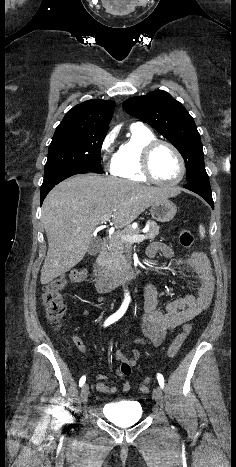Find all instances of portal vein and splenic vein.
I'll return each mask as SVG.
<instances>
[{
    "label": "portal vein and splenic vein",
    "instance_id": "1",
    "mask_svg": "<svg viewBox=\"0 0 236 467\" xmlns=\"http://www.w3.org/2000/svg\"><path fill=\"white\" fill-rule=\"evenodd\" d=\"M111 216H105L103 218V222L109 221ZM121 239L123 241L129 242V243H135V242H141L145 239L144 235L136 234V235H121Z\"/></svg>",
    "mask_w": 236,
    "mask_h": 467
}]
</instances>
